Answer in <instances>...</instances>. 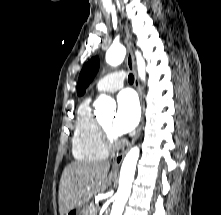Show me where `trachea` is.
<instances>
[{"instance_id":"trachea-1","label":"trachea","mask_w":221,"mask_h":215,"mask_svg":"<svg viewBox=\"0 0 221 215\" xmlns=\"http://www.w3.org/2000/svg\"><path fill=\"white\" fill-rule=\"evenodd\" d=\"M128 81H129V83H133L134 82V76L132 74H129Z\"/></svg>"}]
</instances>
